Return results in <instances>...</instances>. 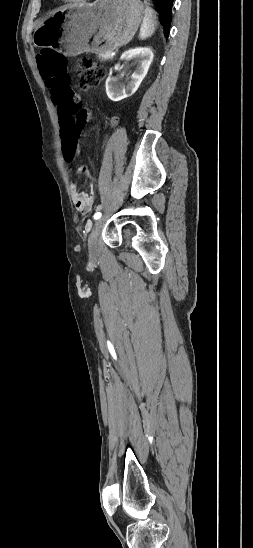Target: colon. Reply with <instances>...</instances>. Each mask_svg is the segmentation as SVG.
Returning <instances> with one entry per match:
<instances>
[{
    "instance_id": "obj_1",
    "label": "colon",
    "mask_w": 253,
    "mask_h": 548,
    "mask_svg": "<svg viewBox=\"0 0 253 548\" xmlns=\"http://www.w3.org/2000/svg\"><path fill=\"white\" fill-rule=\"evenodd\" d=\"M38 64L42 81L46 83L53 104L57 107L58 126L64 141L66 160L74 158V144L81 137L87 121V113L82 109L79 97L74 93L76 83L70 80L69 61L54 50L42 49L38 56ZM79 88L88 91L97 86L104 78V69L89 58H81L77 62ZM68 96V97H66ZM81 171L88 173L86 167Z\"/></svg>"
}]
</instances>
